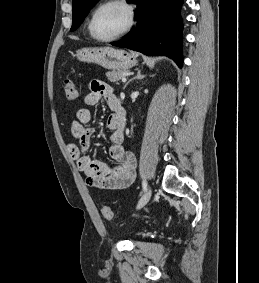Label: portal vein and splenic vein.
<instances>
[{
	"instance_id": "portal-vein-and-splenic-vein-1",
	"label": "portal vein and splenic vein",
	"mask_w": 259,
	"mask_h": 283,
	"mask_svg": "<svg viewBox=\"0 0 259 283\" xmlns=\"http://www.w3.org/2000/svg\"><path fill=\"white\" fill-rule=\"evenodd\" d=\"M127 81V78L126 77H123L122 78V82H126Z\"/></svg>"
}]
</instances>
